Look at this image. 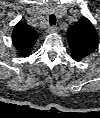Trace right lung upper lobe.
Masks as SVG:
<instances>
[{
	"label": "right lung upper lobe",
	"instance_id": "1",
	"mask_svg": "<svg viewBox=\"0 0 100 118\" xmlns=\"http://www.w3.org/2000/svg\"><path fill=\"white\" fill-rule=\"evenodd\" d=\"M38 34L26 23L18 22L12 33V40L19 54L27 57L34 46Z\"/></svg>",
	"mask_w": 100,
	"mask_h": 118
}]
</instances>
